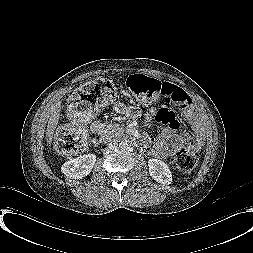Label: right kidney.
<instances>
[{"label": "right kidney", "instance_id": "obj_1", "mask_svg": "<svg viewBox=\"0 0 253 253\" xmlns=\"http://www.w3.org/2000/svg\"><path fill=\"white\" fill-rule=\"evenodd\" d=\"M96 163V155L85 154L65 162L61 172L72 179H82L87 176Z\"/></svg>", "mask_w": 253, "mask_h": 253}]
</instances>
